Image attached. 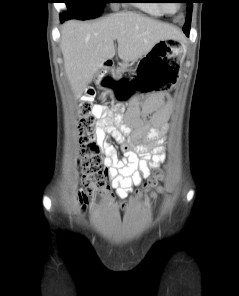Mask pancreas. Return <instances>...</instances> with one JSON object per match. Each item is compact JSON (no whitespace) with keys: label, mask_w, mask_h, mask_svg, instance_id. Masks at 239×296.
Listing matches in <instances>:
<instances>
[{"label":"pancreas","mask_w":239,"mask_h":296,"mask_svg":"<svg viewBox=\"0 0 239 296\" xmlns=\"http://www.w3.org/2000/svg\"><path fill=\"white\" fill-rule=\"evenodd\" d=\"M126 67H127V64H126V63H123V64L121 65V67L117 70V72L120 73V72L123 71Z\"/></svg>","instance_id":"cf45deb5"}]
</instances>
